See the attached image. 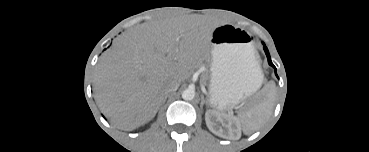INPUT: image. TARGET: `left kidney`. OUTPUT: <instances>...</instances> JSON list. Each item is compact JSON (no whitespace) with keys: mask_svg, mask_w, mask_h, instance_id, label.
Returning a JSON list of instances; mask_svg holds the SVG:
<instances>
[{"mask_svg":"<svg viewBox=\"0 0 369 152\" xmlns=\"http://www.w3.org/2000/svg\"><path fill=\"white\" fill-rule=\"evenodd\" d=\"M205 121L208 129L219 137L226 139H238L240 137V126L236 119L231 116L214 110H207ZM218 123L222 124V126H219Z\"/></svg>","mask_w":369,"mask_h":152,"instance_id":"obj_1","label":"left kidney"}]
</instances>
